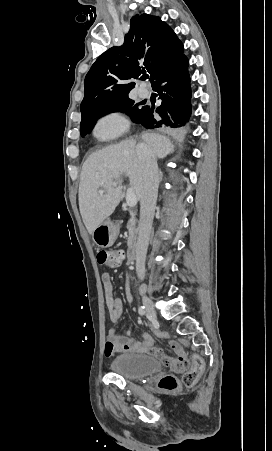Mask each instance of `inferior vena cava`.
I'll list each match as a JSON object with an SVG mask.
<instances>
[{"mask_svg":"<svg viewBox=\"0 0 272 451\" xmlns=\"http://www.w3.org/2000/svg\"><path fill=\"white\" fill-rule=\"evenodd\" d=\"M137 156L143 166V190L140 198V222L136 243V273L139 279L145 277V259L156 206L159 172L157 160L147 144H138Z\"/></svg>","mask_w":272,"mask_h":451,"instance_id":"602c4592","label":"inferior vena cava"}]
</instances>
